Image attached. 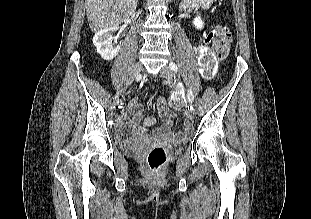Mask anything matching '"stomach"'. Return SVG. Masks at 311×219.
<instances>
[{"instance_id":"stomach-1","label":"stomach","mask_w":311,"mask_h":219,"mask_svg":"<svg viewBox=\"0 0 311 219\" xmlns=\"http://www.w3.org/2000/svg\"><path fill=\"white\" fill-rule=\"evenodd\" d=\"M201 1L204 5L209 6L213 0H201Z\"/></svg>"}]
</instances>
